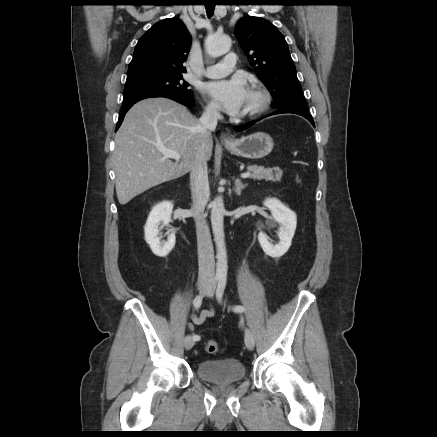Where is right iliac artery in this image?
Masks as SVG:
<instances>
[{"label":"right iliac artery","mask_w":437,"mask_h":437,"mask_svg":"<svg viewBox=\"0 0 437 437\" xmlns=\"http://www.w3.org/2000/svg\"><path fill=\"white\" fill-rule=\"evenodd\" d=\"M202 300H203V296L202 295H198L195 297V299L193 300V305L195 308H200L201 304H202ZM194 341H199L200 340V336L199 335H194L193 336Z\"/></svg>","instance_id":"1"}]
</instances>
